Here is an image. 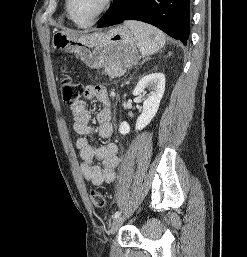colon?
Returning <instances> with one entry per match:
<instances>
[{"mask_svg": "<svg viewBox=\"0 0 247 257\" xmlns=\"http://www.w3.org/2000/svg\"><path fill=\"white\" fill-rule=\"evenodd\" d=\"M60 87L63 100L66 103H74L79 100L82 93V86L67 72L65 67L62 69ZM90 198L92 204L97 208H102L105 205V197L99 190L92 189L90 191Z\"/></svg>", "mask_w": 247, "mask_h": 257, "instance_id": "obj_1", "label": "colon"}]
</instances>
